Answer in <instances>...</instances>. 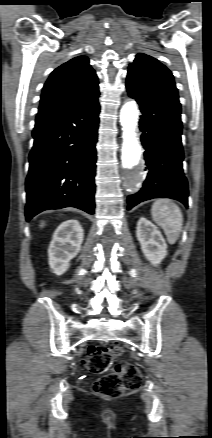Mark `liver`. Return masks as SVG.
<instances>
[{
	"mask_svg": "<svg viewBox=\"0 0 212 438\" xmlns=\"http://www.w3.org/2000/svg\"><path fill=\"white\" fill-rule=\"evenodd\" d=\"M44 225H45V223H44V222H42L40 226H41V227H43Z\"/></svg>",
	"mask_w": 212,
	"mask_h": 438,
	"instance_id": "obj_1",
	"label": "liver"
}]
</instances>
